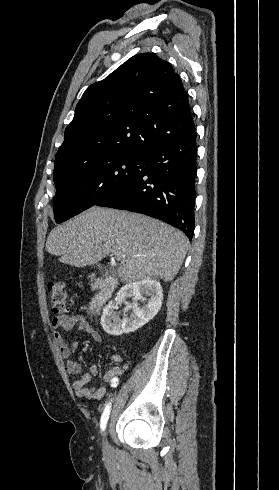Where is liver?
Here are the masks:
<instances>
[{"mask_svg":"<svg viewBox=\"0 0 279 490\" xmlns=\"http://www.w3.org/2000/svg\"><path fill=\"white\" fill-rule=\"evenodd\" d=\"M183 232L143 214L93 206L51 230L46 250L60 262L84 268L114 254L121 282H171L187 254Z\"/></svg>","mask_w":279,"mask_h":490,"instance_id":"liver-1","label":"liver"}]
</instances>
